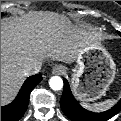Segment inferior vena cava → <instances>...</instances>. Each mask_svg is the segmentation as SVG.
<instances>
[{
  "mask_svg": "<svg viewBox=\"0 0 121 121\" xmlns=\"http://www.w3.org/2000/svg\"><path fill=\"white\" fill-rule=\"evenodd\" d=\"M42 61L36 58H30L21 66V71L24 75L38 73L41 70Z\"/></svg>",
  "mask_w": 121,
  "mask_h": 121,
  "instance_id": "obj_1",
  "label": "inferior vena cava"
}]
</instances>
